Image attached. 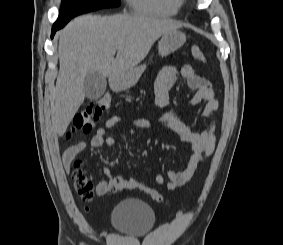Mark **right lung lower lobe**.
<instances>
[{"mask_svg": "<svg viewBox=\"0 0 283 245\" xmlns=\"http://www.w3.org/2000/svg\"><path fill=\"white\" fill-rule=\"evenodd\" d=\"M61 27H62V26L59 25V24H54V25H53L51 38H53L55 32H56L59 28H61Z\"/></svg>", "mask_w": 283, "mask_h": 245, "instance_id": "98d812e1", "label": "right lung lower lobe"}]
</instances>
